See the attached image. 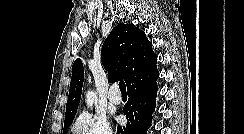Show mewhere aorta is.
<instances>
[{"instance_id": "762f6f07", "label": "aorta", "mask_w": 244, "mask_h": 134, "mask_svg": "<svg viewBox=\"0 0 244 134\" xmlns=\"http://www.w3.org/2000/svg\"><path fill=\"white\" fill-rule=\"evenodd\" d=\"M97 100L96 93L93 91H88L86 94V104L88 107H92L94 102Z\"/></svg>"}]
</instances>
